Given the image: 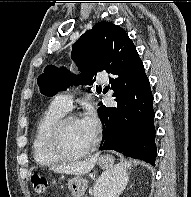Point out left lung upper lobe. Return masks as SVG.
<instances>
[{"mask_svg":"<svg viewBox=\"0 0 191 197\" xmlns=\"http://www.w3.org/2000/svg\"><path fill=\"white\" fill-rule=\"evenodd\" d=\"M72 50L71 57L81 72L79 80L87 85L93 84V77L98 71L106 69L110 73H119L138 70L143 66L126 31L110 22L95 24L78 39ZM75 80H78L77 76L67 69L47 66L37 82L41 93L54 96L71 83L76 84Z\"/></svg>","mask_w":191,"mask_h":197,"instance_id":"5c2ea615","label":"left lung upper lobe"}]
</instances>
